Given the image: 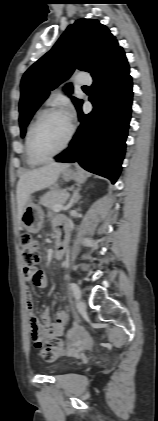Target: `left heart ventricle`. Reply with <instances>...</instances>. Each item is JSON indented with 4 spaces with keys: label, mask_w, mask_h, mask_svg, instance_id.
<instances>
[{
    "label": "left heart ventricle",
    "mask_w": 158,
    "mask_h": 421,
    "mask_svg": "<svg viewBox=\"0 0 158 421\" xmlns=\"http://www.w3.org/2000/svg\"><path fill=\"white\" fill-rule=\"evenodd\" d=\"M70 130V122L65 114L48 116L37 129L34 147L41 156H48L65 142Z\"/></svg>",
    "instance_id": "1"
}]
</instances>
